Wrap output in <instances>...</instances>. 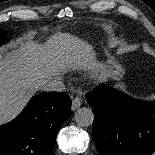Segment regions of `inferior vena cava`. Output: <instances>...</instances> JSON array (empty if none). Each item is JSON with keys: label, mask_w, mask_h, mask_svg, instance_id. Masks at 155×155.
Returning a JSON list of instances; mask_svg holds the SVG:
<instances>
[{"label": "inferior vena cava", "mask_w": 155, "mask_h": 155, "mask_svg": "<svg viewBox=\"0 0 155 155\" xmlns=\"http://www.w3.org/2000/svg\"><path fill=\"white\" fill-rule=\"evenodd\" d=\"M42 89L44 91H57V92H62L65 90V85L62 81L57 80V79H51L47 81Z\"/></svg>", "instance_id": "obj_1"}]
</instances>
